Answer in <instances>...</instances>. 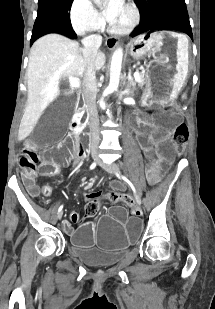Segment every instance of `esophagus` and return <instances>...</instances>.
Returning a JSON list of instances; mask_svg holds the SVG:
<instances>
[{"label":"esophagus","mask_w":215,"mask_h":309,"mask_svg":"<svg viewBox=\"0 0 215 309\" xmlns=\"http://www.w3.org/2000/svg\"><path fill=\"white\" fill-rule=\"evenodd\" d=\"M118 43L119 41L115 37H110L109 39L106 40V45L109 48V50H113Z\"/></svg>","instance_id":"obj_1"}]
</instances>
